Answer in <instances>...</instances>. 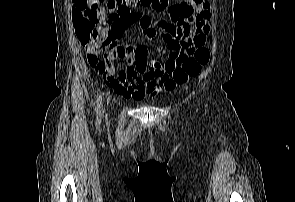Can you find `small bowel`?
<instances>
[{
  "label": "small bowel",
  "instance_id": "c3829d8e",
  "mask_svg": "<svg viewBox=\"0 0 295 202\" xmlns=\"http://www.w3.org/2000/svg\"><path fill=\"white\" fill-rule=\"evenodd\" d=\"M73 8L97 25L107 18L98 0H73ZM154 9L165 11L166 18L153 24L141 10H134L128 18L115 19L111 27L100 29L102 35L109 37L106 47H86L90 66L114 92L127 98L139 100L158 93L166 80L167 65L174 64L181 52L201 47L210 31L208 0H179L176 4ZM134 25L140 26L148 41L159 32L160 50L151 51L148 46H138L130 40L116 46V40ZM114 59L124 60L126 66L118 70L112 68Z\"/></svg>",
  "mask_w": 295,
  "mask_h": 202
}]
</instances>
